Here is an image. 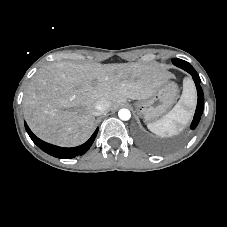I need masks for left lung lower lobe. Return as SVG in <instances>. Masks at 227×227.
Here are the masks:
<instances>
[{
  "instance_id": "1",
  "label": "left lung lower lobe",
  "mask_w": 227,
  "mask_h": 227,
  "mask_svg": "<svg viewBox=\"0 0 227 227\" xmlns=\"http://www.w3.org/2000/svg\"><path fill=\"white\" fill-rule=\"evenodd\" d=\"M174 65L184 69L187 71L189 74L193 76V80L195 82L196 88H197V93H198V102H197V108L195 111V115L193 118V121L191 123L190 128L195 129L200 121L202 112H203V105H204V96H203V91L200 86V78L195 69L186 61L178 59L177 62L173 63Z\"/></svg>"
}]
</instances>
